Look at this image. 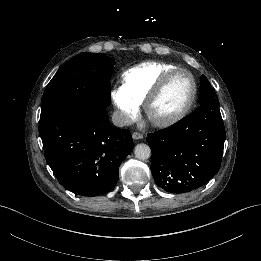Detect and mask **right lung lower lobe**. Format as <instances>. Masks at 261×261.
Here are the masks:
<instances>
[{
  "label": "right lung lower lobe",
  "instance_id": "1",
  "mask_svg": "<svg viewBox=\"0 0 261 261\" xmlns=\"http://www.w3.org/2000/svg\"><path fill=\"white\" fill-rule=\"evenodd\" d=\"M105 107L87 105L47 113L40 118L44 154L59 183L79 196L112 190L121 162L133 149L127 129L109 121Z\"/></svg>",
  "mask_w": 261,
  "mask_h": 261
}]
</instances>
